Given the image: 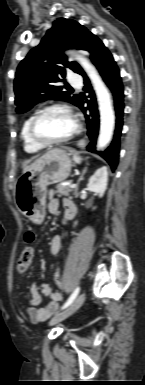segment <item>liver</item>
<instances>
[{
  "label": "liver",
  "instance_id": "liver-1",
  "mask_svg": "<svg viewBox=\"0 0 145 385\" xmlns=\"http://www.w3.org/2000/svg\"><path fill=\"white\" fill-rule=\"evenodd\" d=\"M29 167H30V166H26V167L23 169V173H25V172L28 170Z\"/></svg>",
  "mask_w": 145,
  "mask_h": 385
}]
</instances>
